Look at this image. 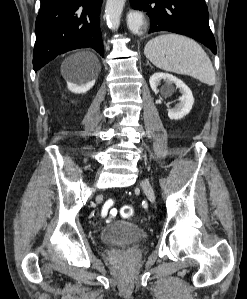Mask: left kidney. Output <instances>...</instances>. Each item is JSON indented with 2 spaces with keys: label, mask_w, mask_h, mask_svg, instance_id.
Returning <instances> with one entry per match:
<instances>
[{
  "label": "left kidney",
  "mask_w": 247,
  "mask_h": 299,
  "mask_svg": "<svg viewBox=\"0 0 247 299\" xmlns=\"http://www.w3.org/2000/svg\"><path fill=\"white\" fill-rule=\"evenodd\" d=\"M161 80L165 82L166 89H173V85L179 89L182 93V96L179 98V103L175 105L174 108L168 109V117L172 120L182 119L187 115L193 106L194 98L190 88L180 79L175 76L167 73H154L149 80L151 89L158 93V86L161 83Z\"/></svg>",
  "instance_id": "5707ae66"
}]
</instances>
